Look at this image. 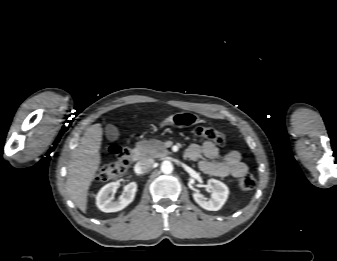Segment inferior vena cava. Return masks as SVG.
Listing matches in <instances>:
<instances>
[{
	"label": "inferior vena cava",
	"mask_w": 337,
	"mask_h": 261,
	"mask_svg": "<svg viewBox=\"0 0 337 261\" xmlns=\"http://www.w3.org/2000/svg\"><path fill=\"white\" fill-rule=\"evenodd\" d=\"M153 164H154L153 159L141 160L136 163L135 172L139 174L145 173L152 167Z\"/></svg>",
	"instance_id": "1"
}]
</instances>
